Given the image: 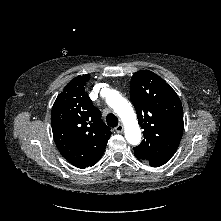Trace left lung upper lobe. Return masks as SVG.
<instances>
[{
	"mask_svg": "<svg viewBox=\"0 0 221 221\" xmlns=\"http://www.w3.org/2000/svg\"><path fill=\"white\" fill-rule=\"evenodd\" d=\"M130 99L135 107L144 140L134 155L152 167L165 164L177 150L183 134V108L176 92L149 70L131 79Z\"/></svg>",
	"mask_w": 221,
	"mask_h": 221,
	"instance_id": "5c2ea615",
	"label": "left lung upper lobe"
}]
</instances>
